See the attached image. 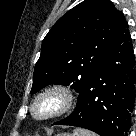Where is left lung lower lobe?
<instances>
[{
	"mask_svg": "<svg viewBox=\"0 0 136 136\" xmlns=\"http://www.w3.org/2000/svg\"><path fill=\"white\" fill-rule=\"evenodd\" d=\"M132 42L124 21L102 62L79 92L73 113L53 125H70L100 136H128L135 101Z\"/></svg>",
	"mask_w": 136,
	"mask_h": 136,
	"instance_id": "0a47b994",
	"label": "left lung lower lobe"
}]
</instances>
